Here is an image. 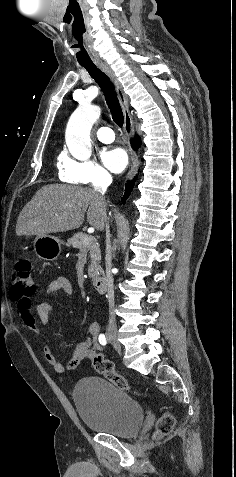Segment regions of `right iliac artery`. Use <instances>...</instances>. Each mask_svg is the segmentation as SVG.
Wrapping results in <instances>:
<instances>
[{"label":"right iliac artery","mask_w":236,"mask_h":477,"mask_svg":"<svg viewBox=\"0 0 236 477\" xmlns=\"http://www.w3.org/2000/svg\"><path fill=\"white\" fill-rule=\"evenodd\" d=\"M99 342H100V344L103 345V346L107 344V340H106V337H105L104 334H100V335H99Z\"/></svg>","instance_id":"82829eb1"}]
</instances>
